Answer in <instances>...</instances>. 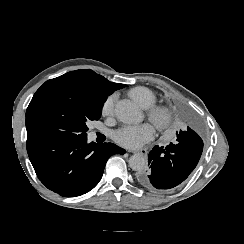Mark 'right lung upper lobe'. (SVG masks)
Instances as JSON below:
<instances>
[{
    "mask_svg": "<svg viewBox=\"0 0 244 244\" xmlns=\"http://www.w3.org/2000/svg\"><path fill=\"white\" fill-rule=\"evenodd\" d=\"M66 74L79 77L91 82L97 88V90L106 97H108L114 91L125 87L124 84L110 82L103 76L98 75L94 71L89 69L76 70Z\"/></svg>",
    "mask_w": 244,
    "mask_h": 244,
    "instance_id": "right-lung-upper-lobe-1",
    "label": "right lung upper lobe"
}]
</instances>
